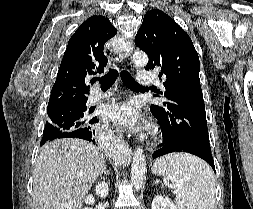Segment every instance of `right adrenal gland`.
I'll return each mask as SVG.
<instances>
[{"mask_svg": "<svg viewBox=\"0 0 253 209\" xmlns=\"http://www.w3.org/2000/svg\"><path fill=\"white\" fill-rule=\"evenodd\" d=\"M102 173H104L105 175H109V171L108 170H106V167L104 168V170H103V172Z\"/></svg>", "mask_w": 253, "mask_h": 209, "instance_id": "1", "label": "right adrenal gland"}]
</instances>
